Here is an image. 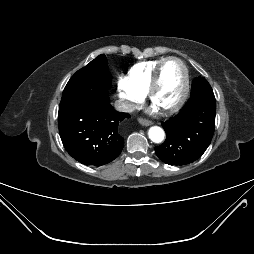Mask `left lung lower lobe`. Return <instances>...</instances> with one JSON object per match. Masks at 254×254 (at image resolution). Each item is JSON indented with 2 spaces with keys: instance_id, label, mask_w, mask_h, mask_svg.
I'll return each instance as SVG.
<instances>
[{
  "instance_id": "left-lung-lower-lobe-1",
  "label": "left lung lower lobe",
  "mask_w": 254,
  "mask_h": 254,
  "mask_svg": "<svg viewBox=\"0 0 254 254\" xmlns=\"http://www.w3.org/2000/svg\"><path fill=\"white\" fill-rule=\"evenodd\" d=\"M215 114L216 100H188L175 117L162 122L167 138L155 147L157 156L169 165H185L200 158L212 140Z\"/></svg>"
}]
</instances>
